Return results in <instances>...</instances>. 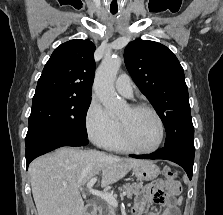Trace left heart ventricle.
Returning a JSON list of instances; mask_svg holds the SVG:
<instances>
[{
    "label": "left heart ventricle",
    "mask_w": 223,
    "mask_h": 215,
    "mask_svg": "<svg viewBox=\"0 0 223 215\" xmlns=\"http://www.w3.org/2000/svg\"><path fill=\"white\" fill-rule=\"evenodd\" d=\"M118 120L125 126L128 137L136 148L148 149L158 140V125L154 117L146 110L125 108Z\"/></svg>",
    "instance_id": "obj_1"
}]
</instances>
